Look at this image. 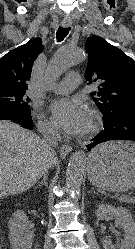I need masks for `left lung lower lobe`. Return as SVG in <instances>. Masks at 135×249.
<instances>
[{"label": "left lung lower lobe", "instance_id": "obj_1", "mask_svg": "<svg viewBox=\"0 0 135 249\" xmlns=\"http://www.w3.org/2000/svg\"><path fill=\"white\" fill-rule=\"evenodd\" d=\"M103 121L105 129L87 145L89 151L97 144L109 140L135 141V107L122 108Z\"/></svg>", "mask_w": 135, "mask_h": 249}]
</instances>
